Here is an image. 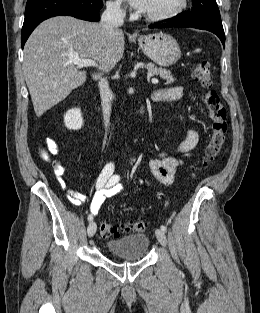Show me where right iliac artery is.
Listing matches in <instances>:
<instances>
[{
	"label": "right iliac artery",
	"instance_id": "right-iliac-artery-1",
	"mask_svg": "<svg viewBox=\"0 0 260 313\" xmlns=\"http://www.w3.org/2000/svg\"><path fill=\"white\" fill-rule=\"evenodd\" d=\"M93 217L91 215L88 216V221L91 222Z\"/></svg>",
	"mask_w": 260,
	"mask_h": 313
}]
</instances>
